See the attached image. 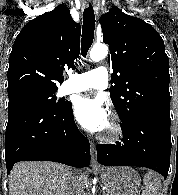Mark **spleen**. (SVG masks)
<instances>
[{
  "instance_id": "1",
  "label": "spleen",
  "mask_w": 178,
  "mask_h": 195,
  "mask_svg": "<svg viewBox=\"0 0 178 195\" xmlns=\"http://www.w3.org/2000/svg\"><path fill=\"white\" fill-rule=\"evenodd\" d=\"M144 184L146 188L151 192V195H160L161 190V178L156 173H147L144 176Z\"/></svg>"
}]
</instances>
